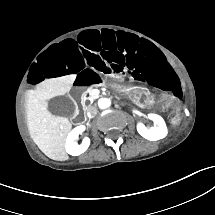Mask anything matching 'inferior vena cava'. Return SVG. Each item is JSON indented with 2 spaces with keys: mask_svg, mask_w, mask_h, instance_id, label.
Here are the masks:
<instances>
[{
  "mask_svg": "<svg viewBox=\"0 0 215 215\" xmlns=\"http://www.w3.org/2000/svg\"><path fill=\"white\" fill-rule=\"evenodd\" d=\"M86 111L89 118H93L97 114V108L95 106H88Z\"/></svg>",
  "mask_w": 215,
  "mask_h": 215,
  "instance_id": "inferior-vena-cava-1",
  "label": "inferior vena cava"
}]
</instances>
